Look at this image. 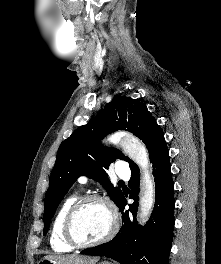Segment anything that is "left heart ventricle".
I'll use <instances>...</instances> for the list:
<instances>
[{"label": "left heart ventricle", "mask_w": 221, "mask_h": 264, "mask_svg": "<svg viewBox=\"0 0 221 264\" xmlns=\"http://www.w3.org/2000/svg\"><path fill=\"white\" fill-rule=\"evenodd\" d=\"M107 208L96 202L85 204L74 220V233L81 242H92L102 238L110 228Z\"/></svg>", "instance_id": "obj_1"}]
</instances>
